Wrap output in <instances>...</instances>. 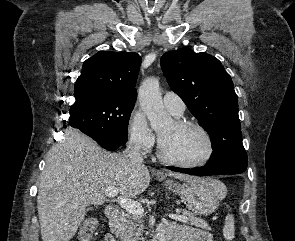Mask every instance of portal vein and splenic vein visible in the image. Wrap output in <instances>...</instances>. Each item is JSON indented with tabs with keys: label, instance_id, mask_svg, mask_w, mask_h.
Returning <instances> with one entry per match:
<instances>
[{
	"label": "portal vein and splenic vein",
	"instance_id": "18ae733b",
	"mask_svg": "<svg viewBox=\"0 0 295 241\" xmlns=\"http://www.w3.org/2000/svg\"><path fill=\"white\" fill-rule=\"evenodd\" d=\"M119 193V189L114 187H108L105 189V195L108 197H116ZM118 204L125 209L127 212L135 214L137 216H143L144 209L142 205L134 200L129 198L117 197ZM169 218L179 221V222H187V217L183 215L177 214H169Z\"/></svg>",
	"mask_w": 295,
	"mask_h": 241
}]
</instances>
